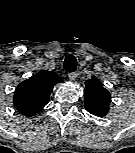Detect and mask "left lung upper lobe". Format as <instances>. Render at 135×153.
<instances>
[{
	"mask_svg": "<svg viewBox=\"0 0 135 153\" xmlns=\"http://www.w3.org/2000/svg\"><path fill=\"white\" fill-rule=\"evenodd\" d=\"M84 102L85 108L91 114L103 117L109 111L111 96L99 80L94 78L85 82Z\"/></svg>",
	"mask_w": 135,
	"mask_h": 153,
	"instance_id": "1",
	"label": "left lung upper lobe"
}]
</instances>
